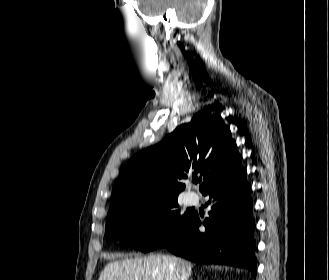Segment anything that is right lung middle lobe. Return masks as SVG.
Instances as JSON below:
<instances>
[{"mask_svg":"<svg viewBox=\"0 0 329 280\" xmlns=\"http://www.w3.org/2000/svg\"><path fill=\"white\" fill-rule=\"evenodd\" d=\"M177 207V196L137 199L108 213L105 234L143 252L155 250L168 244L193 217Z\"/></svg>","mask_w":329,"mask_h":280,"instance_id":"dd1d6c3e","label":"right lung middle lobe"}]
</instances>
